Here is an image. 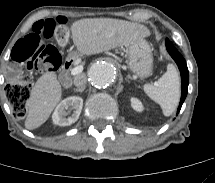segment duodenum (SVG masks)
I'll use <instances>...</instances> for the list:
<instances>
[{"mask_svg": "<svg viewBox=\"0 0 215 183\" xmlns=\"http://www.w3.org/2000/svg\"><path fill=\"white\" fill-rule=\"evenodd\" d=\"M72 66V58H66L63 62V66L59 74L60 81L65 88H69L72 85V78L70 75V70Z\"/></svg>", "mask_w": 215, "mask_h": 183, "instance_id": "duodenum-1", "label": "duodenum"}]
</instances>
